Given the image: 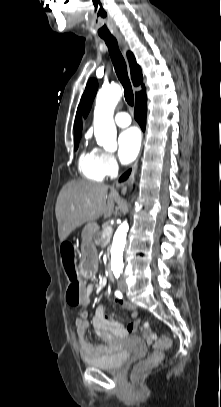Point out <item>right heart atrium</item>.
Instances as JSON below:
<instances>
[{
	"label": "right heart atrium",
	"mask_w": 221,
	"mask_h": 407,
	"mask_svg": "<svg viewBox=\"0 0 221 407\" xmlns=\"http://www.w3.org/2000/svg\"><path fill=\"white\" fill-rule=\"evenodd\" d=\"M99 164L105 176H112L118 170V162L115 156L109 152L97 151Z\"/></svg>",
	"instance_id": "1"
}]
</instances>
